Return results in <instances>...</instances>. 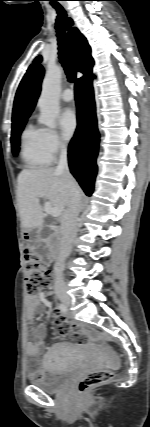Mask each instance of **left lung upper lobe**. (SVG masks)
Listing matches in <instances>:
<instances>
[{
    "instance_id": "obj_1",
    "label": "left lung upper lobe",
    "mask_w": 150,
    "mask_h": 427,
    "mask_svg": "<svg viewBox=\"0 0 150 427\" xmlns=\"http://www.w3.org/2000/svg\"><path fill=\"white\" fill-rule=\"evenodd\" d=\"M41 61V56L37 57L35 62H40Z\"/></svg>"
}]
</instances>
